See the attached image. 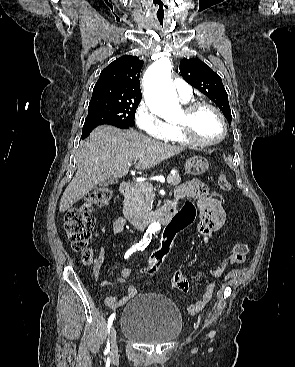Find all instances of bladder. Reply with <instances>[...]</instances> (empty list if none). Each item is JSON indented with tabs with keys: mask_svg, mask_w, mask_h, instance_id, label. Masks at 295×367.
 Returning <instances> with one entry per match:
<instances>
[{
	"mask_svg": "<svg viewBox=\"0 0 295 367\" xmlns=\"http://www.w3.org/2000/svg\"><path fill=\"white\" fill-rule=\"evenodd\" d=\"M120 326L122 334L132 341L161 344L180 335L182 315L169 298L146 293L136 296L124 306Z\"/></svg>",
	"mask_w": 295,
	"mask_h": 367,
	"instance_id": "1",
	"label": "bladder"
}]
</instances>
